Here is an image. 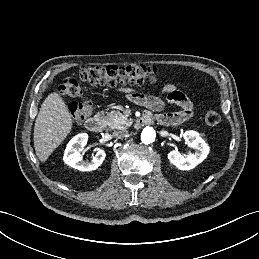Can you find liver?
Here are the masks:
<instances>
[{"label": "liver", "instance_id": "liver-1", "mask_svg": "<svg viewBox=\"0 0 259 259\" xmlns=\"http://www.w3.org/2000/svg\"><path fill=\"white\" fill-rule=\"evenodd\" d=\"M72 126V115L63 98L57 92L50 93L42 103L34 125V148L41 162H45L64 141Z\"/></svg>", "mask_w": 259, "mask_h": 259}]
</instances>
